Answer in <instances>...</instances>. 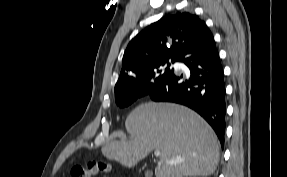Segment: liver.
I'll return each mask as SVG.
<instances>
[{"label":"liver","mask_w":287,"mask_h":177,"mask_svg":"<svg viewBox=\"0 0 287 177\" xmlns=\"http://www.w3.org/2000/svg\"><path fill=\"white\" fill-rule=\"evenodd\" d=\"M125 127L129 140H114L102 148L108 159L133 167L159 150L156 177L208 176L216 170L217 137L206 121L187 107L147 102L128 115Z\"/></svg>","instance_id":"1"}]
</instances>
